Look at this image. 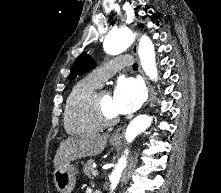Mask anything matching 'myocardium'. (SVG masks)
<instances>
[{"label":"myocardium","mask_w":221,"mask_h":193,"mask_svg":"<svg viewBox=\"0 0 221 193\" xmlns=\"http://www.w3.org/2000/svg\"><path fill=\"white\" fill-rule=\"evenodd\" d=\"M107 90L101 86L96 88L86 101L88 112L103 126L114 125L119 121L117 114H109L102 104V96Z\"/></svg>","instance_id":"1"}]
</instances>
